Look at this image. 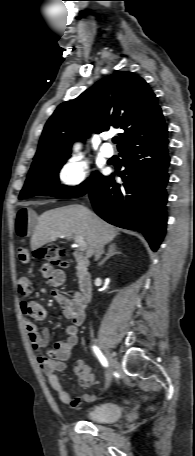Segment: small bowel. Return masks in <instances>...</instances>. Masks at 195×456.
<instances>
[{
    "label": "small bowel",
    "instance_id": "obj_1",
    "mask_svg": "<svg viewBox=\"0 0 195 456\" xmlns=\"http://www.w3.org/2000/svg\"><path fill=\"white\" fill-rule=\"evenodd\" d=\"M34 221V214L27 208H22L17 212L15 219V231L19 237H27L31 234ZM18 258L22 263H28L30 260L29 251L26 248H20ZM41 276L53 286L58 288L65 282L66 275L62 269L53 268L48 264H42L40 267ZM31 281L27 276L18 279V293L27 297L30 294ZM53 298L59 304L63 315L70 321L66 327L67 337L64 340L54 344L48 356L40 355L38 361L51 388L57 393L62 403L70 408H76L82 401L90 402L95 399L94 395L84 393L80 396L71 397L62 386L57 372L63 371L66 362L71 357L72 351L78 343L79 327L85 319V305L81 295L69 294L60 290H54ZM20 308L25 319V328L33 350L41 353L42 349L50 342V334L47 329L39 331L33 321H42L46 317L45 308L36 301L24 299L20 302ZM74 371L78 376L81 386L89 387L94 382V375L91 368L83 361L77 360L74 365Z\"/></svg>",
    "mask_w": 195,
    "mask_h": 456
}]
</instances>
